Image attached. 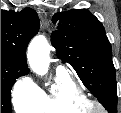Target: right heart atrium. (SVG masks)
Masks as SVG:
<instances>
[{
  "mask_svg": "<svg viewBox=\"0 0 121 113\" xmlns=\"http://www.w3.org/2000/svg\"><path fill=\"white\" fill-rule=\"evenodd\" d=\"M35 93V85L29 78H23L15 82L12 89V102L17 105L23 101H30Z\"/></svg>",
  "mask_w": 121,
  "mask_h": 113,
  "instance_id": "d8ad5b80",
  "label": "right heart atrium"
}]
</instances>
